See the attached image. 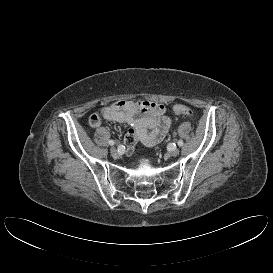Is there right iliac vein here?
Returning a JSON list of instances; mask_svg holds the SVG:
<instances>
[{
    "mask_svg": "<svg viewBox=\"0 0 273 273\" xmlns=\"http://www.w3.org/2000/svg\"><path fill=\"white\" fill-rule=\"evenodd\" d=\"M110 152L113 156L117 155V149L115 147H111Z\"/></svg>",
    "mask_w": 273,
    "mask_h": 273,
    "instance_id": "obj_1",
    "label": "right iliac vein"
}]
</instances>
